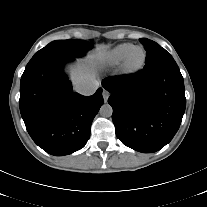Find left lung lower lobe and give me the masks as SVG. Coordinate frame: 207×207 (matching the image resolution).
<instances>
[{
    "label": "left lung lower lobe",
    "instance_id": "0a47b994",
    "mask_svg": "<svg viewBox=\"0 0 207 207\" xmlns=\"http://www.w3.org/2000/svg\"><path fill=\"white\" fill-rule=\"evenodd\" d=\"M116 136L136 151L152 153L168 144L182 121L186 98L183 77L174 60L135 75L108 77Z\"/></svg>",
    "mask_w": 207,
    "mask_h": 207
}]
</instances>
